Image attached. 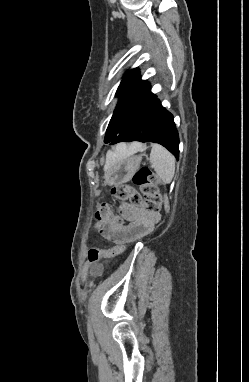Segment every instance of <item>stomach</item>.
Wrapping results in <instances>:
<instances>
[{"label":"stomach","mask_w":249,"mask_h":382,"mask_svg":"<svg viewBox=\"0 0 249 382\" xmlns=\"http://www.w3.org/2000/svg\"><path fill=\"white\" fill-rule=\"evenodd\" d=\"M142 155L115 157L105 169L104 184L120 185L128 182L140 167Z\"/></svg>","instance_id":"0dacf381"}]
</instances>
